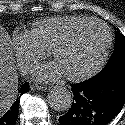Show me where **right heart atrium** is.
I'll list each match as a JSON object with an SVG mask.
<instances>
[{
    "instance_id": "1",
    "label": "right heart atrium",
    "mask_w": 125,
    "mask_h": 125,
    "mask_svg": "<svg viewBox=\"0 0 125 125\" xmlns=\"http://www.w3.org/2000/svg\"><path fill=\"white\" fill-rule=\"evenodd\" d=\"M11 48L19 68L25 73L31 71L48 52L30 30H16L11 38Z\"/></svg>"
}]
</instances>
